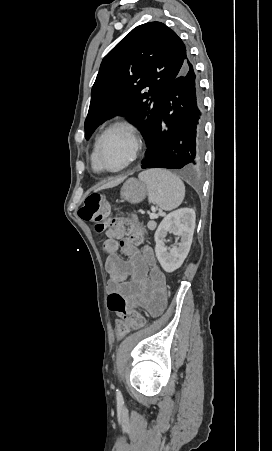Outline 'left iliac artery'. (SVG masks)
I'll return each instance as SVG.
<instances>
[{
    "instance_id": "1",
    "label": "left iliac artery",
    "mask_w": 272,
    "mask_h": 451,
    "mask_svg": "<svg viewBox=\"0 0 272 451\" xmlns=\"http://www.w3.org/2000/svg\"><path fill=\"white\" fill-rule=\"evenodd\" d=\"M116 397H117V400H122V394L119 391V389L116 390Z\"/></svg>"
}]
</instances>
